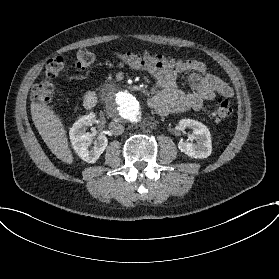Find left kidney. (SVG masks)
<instances>
[{"instance_id":"obj_1","label":"left kidney","mask_w":279,"mask_h":279,"mask_svg":"<svg viewBox=\"0 0 279 279\" xmlns=\"http://www.w3.org/2000/svg\"><path fill=\"white\" fill-rule=\"evenodd\" d=\"M179 128H189L192 130V137L196 143L180 140L178 148L181 152L185 153L192 158H207L212 152L211 134L207 126L203 123L193 119H181L179 121Z\"/></svg>"}]
</instances>
